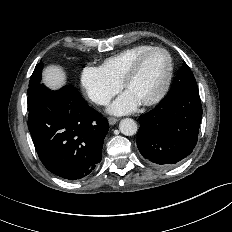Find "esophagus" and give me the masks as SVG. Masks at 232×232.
Returning <instances> with one entry per match:
<instances>
[{
  "instance_id": "34e87169",
  "label": "esophagus",
  "mask_w": 232,
  "mask_h": 232,
  "mask_svg": "<svg viewBox=\"0 0 232 232\" xmlns=\"http://www.w3.org/2000/svg\"><path fill=\"white\" fill-rule=\"evenodd\" d=\"M117 121H118L117 118H114V117H109V118H108V122H109L110 125L116 124Z\"/></svg>"
}]
</instances>
